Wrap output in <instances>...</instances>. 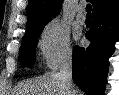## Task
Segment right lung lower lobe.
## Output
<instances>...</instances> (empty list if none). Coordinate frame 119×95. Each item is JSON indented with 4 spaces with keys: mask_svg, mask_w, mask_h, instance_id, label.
<instances>
[{
    "mask_svg": "<svg viewBox=\"0 0 119 95\" xmlns=\"http://www.w3.org/2000/svg\"><path fill=\"white\" fill-rule=\"evenodd\" d=\"M88 48L73 50V80L87 95H104L109 58L119 41V4L93 17Z\"/></svg>",
    "mask_w": 119,
    "mask_h": 95,
    "instance_id": "1",
    "label": "right lung lower lobe"
}]
</instances>
